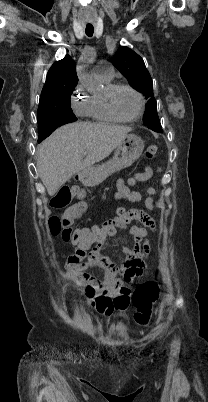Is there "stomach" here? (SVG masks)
I'll use <instances>...</instances> for the list:
<instances>
[{
	"label": "stomach",
	"mask_w": 208,
	"mask_h": 402,
	"mask_svg": "<svg viewBox=\"0 0 208 402\" xmlns=\"http://www.w3.org/2000/svg\"><path fill=\"white\" fill-rule=\"evenodd\" d=\"M144 150V142L139 136L129 134L125 140L121 142L120 146H117L115 154L112 160L98 166V168H90L86 170L84 174H81V182L84 186H98L103 180H106L108 176L119 172L123 168H129L132 166L138 158H140Z\"/></svg>",
	"instance_id": "1"
}]
</instances>
